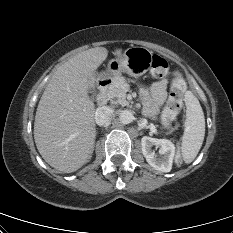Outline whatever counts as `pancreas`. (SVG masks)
<instances>
[{
    "label": "pancreas",
    "mask_w": 233,
    "mask_h": 233,
    "mask_svg": "<svg viewBox=\"0 0 233 233\" xmlns=\"http://www.w3.org/2000/svg\"><path fill=\"white\" fill-rule=\"evenodd\" d=\"M127 85V80L124 77H117L114 81L113 86L109 90V95L112 98H116L118 104L126 106L129 102L126 100L125 86Z\"/></svg>",
    "instance_id": "pancreas-1"
}]
</instances>
